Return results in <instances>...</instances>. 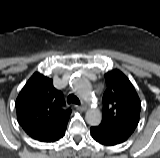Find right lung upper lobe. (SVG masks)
Wrapping results in <instances>:
<instances>
[{
	"label": "right lung upper lobe",
	"mask_w": 160,
	"mask_h": 158,
	"mask_svg": "<svg viewBox=\"0 0 160 158\" xmlns=\"http://www.w3.org/2000/svg\"><path fill=\"white\" fill-rule=\"evenodd\" d=\"M17 119L33 139L46 142L67 126L71 109L65 106L61 91L52 79L35 72L19 93L16 103Z\"/></svg>",
	"instance_id": "cb5924a9"
}]
</instances>
